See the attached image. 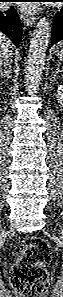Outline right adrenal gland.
I'll list each match as a JSON object with an SVG mask.
<instances>
[{"label":"right adrenal gland","mask_w":63,"mask_h":297,"mask_svg":"<svg viewBox=\"0 0 63 297\" xmlns=\"http://www.w3.org/2000/svg\"><path fill=\"white\" fill-rule=\"evenodd\" d=\"M10 74H11V70L10 69L4 70V72H2V71L0 72V79H3L1 81V85L4 82L7 83L8 79L11 77Z\"/></svg>","instance_id":"2a0ac1e0"}]
</instances>
